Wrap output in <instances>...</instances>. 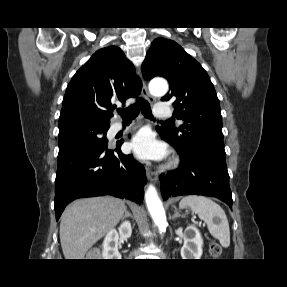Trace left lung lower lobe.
Listing matches in <instances>:
<instances>
[{
	"instance_id": "1",
	"label": "left lung lower lobe",
	"mask_w": 287,
	"mask_h": 287,
	"mask_svg": "<svg viewBox=\"0 0 287 287\" xmlns=\"http://www.w3.org/2000/svg\"><path fill=\"white\" fill-rule=\"evenodd\" d=\"M161 136L170 143L164 135ZM176 150L181 158L180 167L160 176L163 199L179 195H204L216 197L231 208L232 195L226 161L202 152L187 155Z\"/></svg>"
}]
</instances>
